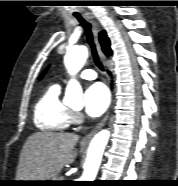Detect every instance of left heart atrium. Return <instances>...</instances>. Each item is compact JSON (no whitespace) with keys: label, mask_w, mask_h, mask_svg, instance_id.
Returning a JSON list of instances; mask_svg holds the SVG:
<instances>
[{"label":"left heart atrium","mask_w":178,"mask_h":186,"mask_svg":"<svg viewBox=\"0 0 178 186\" xmlns=\"http://www.w3.org/2000/svg\"><path fill=\"white\" fill-rule=\"evenodd\" d=\"M110 96L102 83H94L88 87L84 95L85 111L90 117H99L108 108Z\"/></svg>","instance_id":"39dd6f15"}]
</instances>
